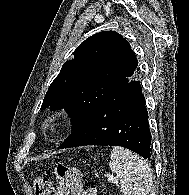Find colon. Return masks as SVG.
<instances>
[{
	"mask_svg": "<svg viewBox=\"0 0 189 195\" xmlns=\"http://www.w3.org/2000/svg\"><path fill=\"white\" fill-rule=\"evenodd\" d=\"M58 186L49 179L39 177L34 183L36 195H84L85 188L82 184V173L80 170L59 164L56 167Z\"/></svg>",
	"mask_w": 189,
	"mask_h": 195,
	"instance_id": "1",
	"label": "colon"
}]
</instances>
